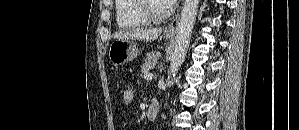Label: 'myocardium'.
<instances>
[{"mask_svg":"<svg viewBox=\"0 0 299 130\" xmlns=\"http://www.w3.org/2000/svg\"><path fill=\"white\" fill-rule=\"evenodd\" d=\"M158 2H163L160 0H140L139 9L143 16L148 18L150 21H161L167 18L170 14V6L163 4L162 10H157L155 4Z\"/></svg>","mask_w":299,"mask_h":130,"instance_id":"myocardium-1","label":"myocardium"}]
</instances>
